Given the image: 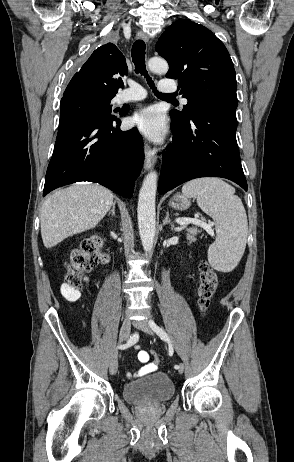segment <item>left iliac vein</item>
<instances>
[{
	"mask_svg": "<svg viewBox=\"0 0 294 462\" xmlns=\"http://www.w3.org/2000/svg\"><path fill=\"white\" fill-rule=\"evenodd\" d=\"M134 326L136 328L142 330L143 332L147 333V334H150V335L153 334V331H152L148 321H146V320H141V321L135 322ZM178 372L180 374H182L184 372V366L181 363L179 364Z\"/></svg>",
	"mask_w": 294,
	"mask_h": 462,
	"instance_id": "1",
	"label": "left iliac vein"
}]
</instances>
